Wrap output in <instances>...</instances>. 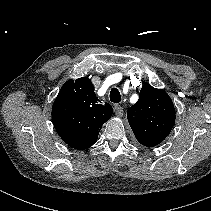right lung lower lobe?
I'll return each instance as SVG.
<instances>
[{"instance_id": "98d812e1", "label": "right lung lower lobe", "mask_w": 211, "mask_h": 211, "mask_svg": "<svg viewBox=\"0 0 211 211\" xmlns=\"http://www.w3.org/2000/svg\"><path fill=\"white\" fill-rule=\"evenodd\" d=\"M68 104L62 99H56L52 108L53 124L56 128L68 126L70 121V115L68 110ZM97 141V138L92 142L91 146Z\"/></svg>"}]
</instances>
